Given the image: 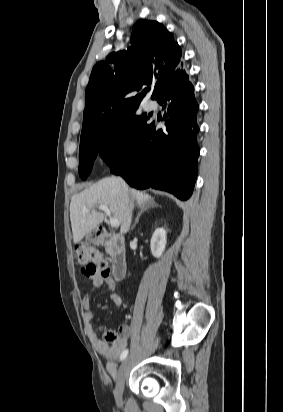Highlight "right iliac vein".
<instances>
[{"label":"right iliac vein","instance_id":"obj_1","mask_svg":"<svg viewBox=\"0 0 283 412\" xmlns=\"http://www.w3.org/2000/svg\"><path fill=\"white\" fill-rule=\"evenodd\" d=\"M130 367V358L127 357L121 364L119 371H118V376H117V381L115 385V390H114V397L117 405L121 406L123 404V399H122V394H123V388H124V382L126 375L129 371Z\"/></svg>","mask_w":283,"mask_h":412}]
</instances>
